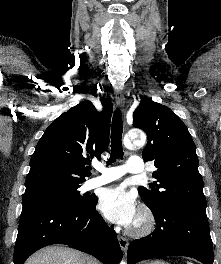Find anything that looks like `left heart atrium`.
I'll return each instance as SVG.
<instances>
[{
    "label": "left heart atrium",
    "mask_w": 221,
    "mask_h": 264,
    "mask_svg": "<svg viewBox=\"0 0 221 264\" xmlns=\"http://www.w3.org/2000/svg\"><path fill=\"white\" fill-rule=\"evenodd\" d=\"M98 206L103 215L113 223L128 227L133 225L137 219L136 200L121 186L103 190Z\"/></svg>",
    "instance_id": "obj_1"
}]
</instances>
